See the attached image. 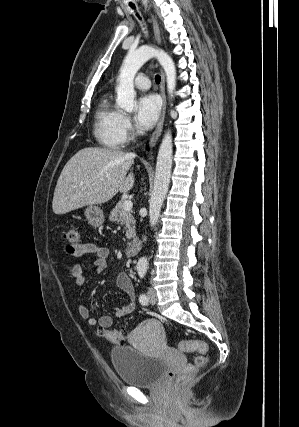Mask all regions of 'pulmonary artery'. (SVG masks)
<instances>
[{
  "instance_id": "pulmonary-artery-1",
  "label": "pulmonary artery",
  "mask_w": 299,
  "mask_h": 427,
  "mask_svg": "<svg viewBox=\"0 0 299 427\" xmlns=\"http://www.w3.org/2000/svg\"><path fill=\"white\" fill-rule=\"evenodd\" d=\"M134 83H135V86H136L138 89H141V90H146V89H148V88L150 87V80H149V78H148L146 75H144V74H140V75H138V76L135 78Z\"/></svg>"
}]
</instances>
